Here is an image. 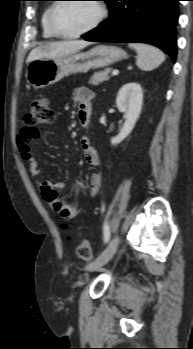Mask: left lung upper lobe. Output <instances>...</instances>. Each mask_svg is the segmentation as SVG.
I'll list each match as a JSON object with an SVG mask.
<instances>
[{"label": "left lung upper lobe", "mask_w": 193, "mask_h": 349, "mask_svg": "<svg viewBox=\"0 0 193 349\" xmlns=\"http://www.w3.org/2000/svg\"><path fill=\"white\" fill-rule=\"evenodd\" d=\"M103 1H106V2H108L109 0H103ZM91 31H92V30H91ZM91 31H90V32H91ZM88 33H89V32H88ZM86 34H87V33H86Z\"/></svg>", "instance_id": "5c2ea615"}]
</instances>
